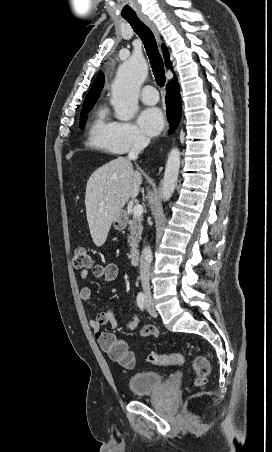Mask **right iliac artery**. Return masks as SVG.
Segmentation results:
<instances>
[{
  "mask_svg": "<svg viewBox=\"0 0 272 452\" xmlns=\"http://www.w3.org/2000/svg\"><path fill=\"white\" fill-rule=\"evenodd\" d=\"M137 304H138V306H139V308L141 309V310H143L144 309V304H145V297L144 296H138L137 297Z\"/></svg>",
  "mask_w": 272,
  "mask_h": 452,
  "instance_id": "82829eb1",
  "label": "right iliac artery"
}]
</instances>
